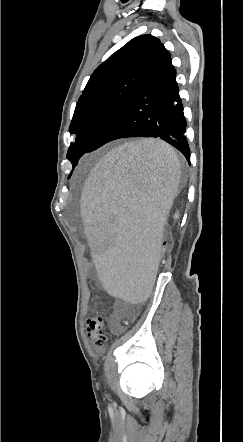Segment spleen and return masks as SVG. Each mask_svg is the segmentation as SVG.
Segmentation results:
<instances>
[{
  "label": "spleen",
  "instance_id": "3e777b00",
  "mask_svg": "<svg viewBox=\"0 0 243 442\" xmlns=\"http://www.w3.org/2000/svg\"><path fill=\"white\" fill-rule=\"evenodd\" d=\"M175 151L155 139L119 146L89 172L81 194L99 280L108 296L126 307H141L150 296L159 267L164 219L173 209L172 195L180 182ZM159 192V193H145Z\"/></svg>",
  "mask_w": 243,
  "mask_h": 442
}]
</instances>
